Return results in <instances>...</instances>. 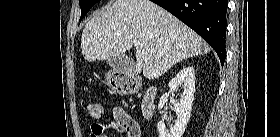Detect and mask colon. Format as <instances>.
<instances>
[{"label":"colon","instance_id":"colon-1","mask_svg":"<svg viewBox=\"0 0 280 137\" xmlns=\"http://www.w3.org/2000/svg\"><path fill=\"white\" fill-rule=\"evenodd\" d=\"M86 113L92 118H98L102 114V105L97 101H89L84 106ZM126 125L129 127L130 133L134 136L136 135L139 130L136 124L127 117L125 119Z\"/></svg>","mask_w":280,"mask_h":137}]
</instances>
